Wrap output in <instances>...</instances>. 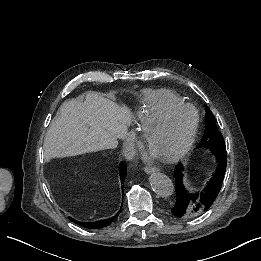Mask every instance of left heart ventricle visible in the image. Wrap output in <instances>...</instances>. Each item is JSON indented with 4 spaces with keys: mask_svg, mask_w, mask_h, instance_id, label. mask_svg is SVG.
I'll return each instance as SVG.
<instances>
[{
    "mask_svg": "<svg viewBox=\"0 0 261 261\" xmlns=\"http://www.w3.org/2000/svg\"><path fill=\"white\" fill-rule=\"evenodd\" d=\"M192 122L187 110H174L160 121L148 127L145 144L150 153L166 156L178 150L184 143Z\"/></svg>",
    "mask_w": 261,
    "mask_h": 261,
    "instance_id": "left-heart-ventricle-1",
    "label": "left heart ventricle"
}]
</instances>
